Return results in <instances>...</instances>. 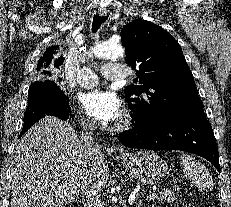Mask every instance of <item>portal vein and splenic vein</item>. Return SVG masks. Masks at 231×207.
Returning <instances> with one entry per match:
<instances>
[{"mask_svg": "<svg viewBox=\"0 0 231 207\" xmlns=\"http://www.w3.org/2000/svg\"><path fill=\"white\" fill-rule=\"evenodd\" d=\"M158 196V193L157 192H152L149 197L150 198H155ZM134 199H135V195H132L129 197V204H132L134 202Z\"/></svg>", "mask_w": 231, "mask_h": 207, "instance_id": "obj_1", "label": "portal vein and splenic vein"}]
</instances>
